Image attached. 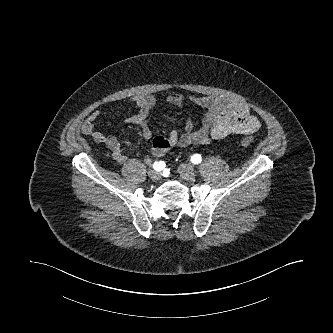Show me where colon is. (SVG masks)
<instances>
[{"mask_svg":"<svg viewBox=\"0 0 333 333\" xmlns=\"http://www.w3.org/2000/svg\"><path fill=\"white\" fill-rule=\"evenodd\" d=\"M251 144H252V140L250 138H244L239 143V145L244 148L251 146Z\"/></svg>","mask_w":333,"mask_h":333,"instance_id":"1","label":"colon"}]
</instances>
